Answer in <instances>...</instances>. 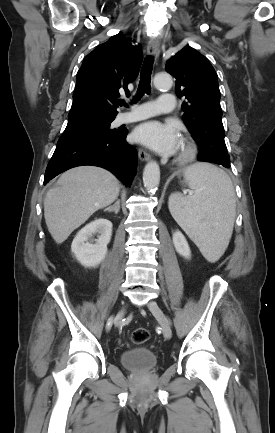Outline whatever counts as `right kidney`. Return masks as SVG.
<instances>
[{
	"label": "right kidney",
	"instance_id": "1",
	"mask_svg": "<svg viewBox=\"0 0 275 433\" xmlns=\"http://www.w3.org/2000/svg\"><path fill=\"white\" fill-rule=\"evenodd\" d=\"M96 234L97 239H94ZM111 236L112 223L104 218L95 219L76 234L71 251L81 265L96 267L107 254V245Z\"/></svg>",
	"mask_w": 275,
	"mask_h": 433
}]
</instances>
